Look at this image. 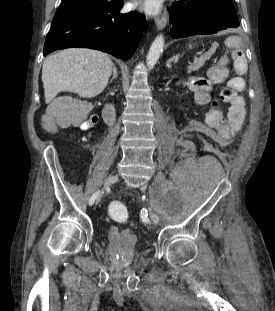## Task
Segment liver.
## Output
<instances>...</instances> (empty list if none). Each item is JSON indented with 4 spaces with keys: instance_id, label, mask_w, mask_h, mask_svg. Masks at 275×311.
<instances>
[{
    "instance_id": "obj_1",
    "label": "liver",
    "mask_w": 275,
    "mask_h": 311,
    "mask_svg": "<svg viewBox=\"0 0 275 311\" xmlns=\"http://www.w3.org/2000/svg\"><path fill=\"white\" fill-rule=\"evenodd\" d=\"M112 67L106 53L93 49L71 48L49 56L42 67L45 102L50 103L60 92L84 98L99 95L108 84Z\"/></svg>"
}]
</instances>
